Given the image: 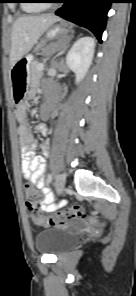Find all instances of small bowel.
Masks as SVG:
<instances>
[{"label":"small bowel","mask_w":136,"mask_h":296,"mask_svg":"<svg viewBox=\"0 0 136 296\" xmlns=\"http://www.w3.org/2000/svg\"><path fill=\"white\" fill-rule=\"evenodd\" d=\"M28 105L23 104L16 110V119L18 122V135L21 142V156H22V173L26 180L30 181L37 188L41 189L44 194V200L41 203V209L45 212H51L58 207L65 204V202H54L55 193L47 187L44 179V172L46 168L45 159L43 156H36L35 149L37 141L34 139L27 122ZM43 117L46 115L43 113ZM37 130L42 134L48 133V128L44 124H39ZM48 142L44 144V153H47Z\"/></svg>","instance_id":"obj_1"}]
</instances>
